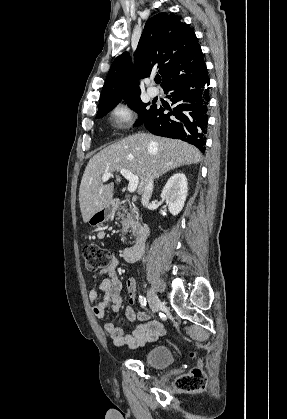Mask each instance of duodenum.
Wrapping results in <instances>:
<instances>
[{
	"label": "duodenum",
	"mask_w": 287,
	"mask_h": 419,
	"mask_svg": "<svg viewBox=\"0 0 287 419\" xmlns=\"http://www.w3.org/2000/svg\"><path fill=\"white\" fill-rule=\"evenodd\" d=\"M123 204L121 201H116L115 206L119 207ZM150 228L148 224H144L138 231L137 238L134 245L128 246L123 250V257L127 262H135L139 259L144 242L149 235Z\"/></svg>",
	"instance_id": "410a0bca"
}]
</instances>
